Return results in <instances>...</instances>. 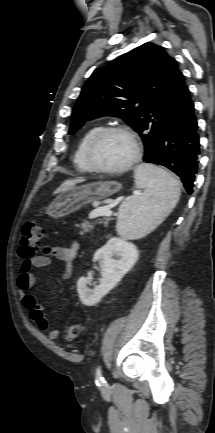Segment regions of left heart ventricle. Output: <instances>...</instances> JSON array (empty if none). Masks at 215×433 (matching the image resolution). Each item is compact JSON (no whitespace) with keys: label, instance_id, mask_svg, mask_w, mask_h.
Masks as SVG:
<instances>
[{"label":"left heart ventricle","instance_id":"1","mask_svg":"<svg viewBox=\"0 0 215 433\" xmlns=\"http://www.w3.org/2000/svg\"><path fill=\"white\" fill-rule=\"evenodd\" d=\"M133 154L131 141L121 133L103 136L93 149L95 163L104 168H117L126 164Z\"/></svg>","mask_w":215,"mask_h":433}]
</instances>
